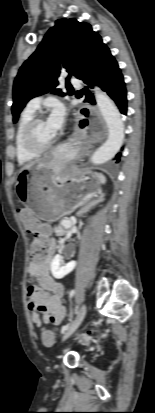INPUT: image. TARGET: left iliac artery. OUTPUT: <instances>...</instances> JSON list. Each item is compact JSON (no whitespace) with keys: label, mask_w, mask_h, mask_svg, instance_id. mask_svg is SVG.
<instances>
[{"label":"left iliac artery","mask_w":155,"mask_h":413,"mask_svg":"<svg viewBox=\"0 0 155 413\" xmlns=\"http://www.w3.org/2000/svg\"><path fill=\"white\" fill-rule=\"evenodd\" d=\"M74 294H75V291L71 290L70 294H69L70 298H72L74 296ZM72 315H73V312H71L70 317H72Z\"/></svg>","instance_id":"obj_1"}]
</instances>
